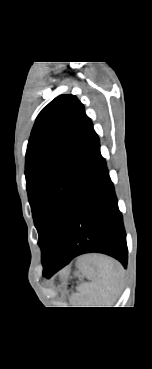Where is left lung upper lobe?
<instances>
[{"label":"left lung upper lobe","instance_id":"left-lung-upper-lobe-1","mask_svg":"<svg viewBox=\"0 0 152 369\" xmlns=\"http://www.w3.org/2000/svg\"><path fill=\"white\" fill-rule=\"evenodd\" d=\"M96 137L83 104L74 95L56 97L35 121L25 177L42 262L52 261L60 249Z\"/></svg>","mask_w":152,"mask_h":369}]
</instances>
